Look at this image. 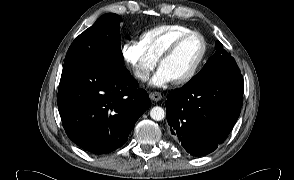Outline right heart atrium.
<instances>
[{"label":"right heart atrium","mask_w":294,"mask_h":180,"mask_svg":"<svg viewBox=\"0 0 294 180\" xmlns=\"http://www.w3.org/2000/svg\"><path fill=\"white\" fill-rule=\"evenodd\" d=\"M121 52L133 76L140 81L147 79L158 62V59L150 55L137 40L126 41Z\"/></svg>","instance_id":"d8ad5b80"}]
</instances>
